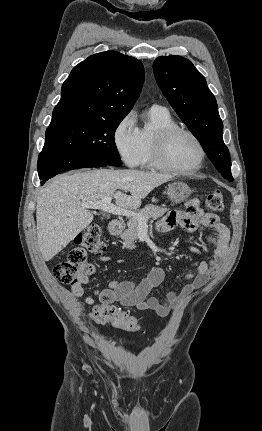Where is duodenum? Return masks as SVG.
<instances>
[{
  "instance_id": "410a0bca",
  "label": "duodenum",
  "mask_w": 262,
  "mask_h": 431,
  "mask_svg": "<svg viewBox=\"0 0 262 431\" xmlns=\"http://www.w3.org/2000/svg\"><path fill=\"white\" fill-rule=\"evenodd\" d=\"M123 230V223L119 220H113L108 224V232L112 235L119 234Z\"/></svg>"
}]
</instances>
